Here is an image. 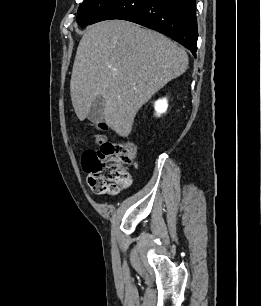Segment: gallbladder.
<instances>
[{
	"mask_svg": "<svg viewBox=\"0 0 261 306\" xmlns=\"http://www.w3.org/2000/svg\"><path fill=\"white\" fill-rule=\"evenodd\" d=\"M104 98L102 96L96 97L92 102L87 118L92 123H99L103 120Z\"/></svg>",
	"mask_w": 261,
	"mask_h": 306,
	"instance_id": "gallbladder-1",
	"label": "gallbladder"
}]
</instances>
